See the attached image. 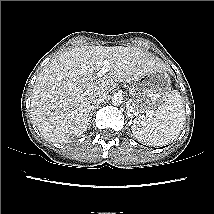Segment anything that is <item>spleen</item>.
<instances>
[{
	"label": "spleen",
	"instance_id": "3e777b00",
	"mask_svg": "<svg viewBox=\"0 0 214 214\" xmlns=\"http://www.w3.org/2000/svg\"><path fill=\"white\" fill-rule=\"evenodd\" d=\"M185 121L184 104L180 93L173 90L155 114H146L133 120L132 132L137 140L162 146L175 140Z\"/></svg>",
	"mask_w": 214,
	"mask_h": 214
}]
</instances>
